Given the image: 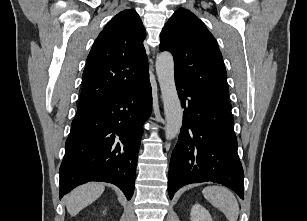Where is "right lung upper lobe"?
<instances>
[{
	"mask_svg": "<svg viewBox=\"0 0 307 221\" xmlns=\"http://www.w3.org/2000/svg\"><path fill=\"white\" fill-rule=\"evenodd\" d=\"M145 28L135 10L113 17L95 40L83 72L78 109L141 86L149 77Z\"/></svg>",
	"mask_w": 307,
	"mask_h": 221,
	"instance_id": "right-lung-upper-lobe-1",
	"label": "right lung upper lobe"
}]
</instances>
